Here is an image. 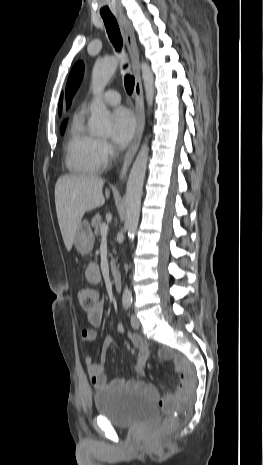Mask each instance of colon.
Returning <instances> with one entry per match:
<instances>
[{
  "mask_svg": "<svg viewBox=\"0 0 263 465\" xmlns=\"http://www.w3.org/2000/svg\"><path fill=\"white\" fill-rule=\"evenodd\" d=\"M77 299L81 308L89 313L96 309L100 302V293L90 287H83L77 292ZM191 384L190 378L185 376L183 378L184 388H188ZM183 395V389L179 392V396ZM160 406L168 414L161 426L162 432L172 430L177 424V417L175 415L176 401L174 399L164 398L160 400Z\"/></svg>",
  "mask_w": 263,
  "mask_h": 465,
  "instance_id": "colon-1",
  "label": "colon"
}]
</instances>
